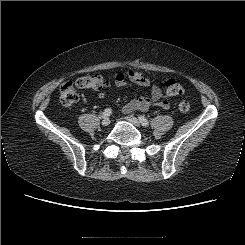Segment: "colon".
<instances>
[{
    "instance_id": "obj_1",
    "label": "colon",
    "mask_w": 245,
    "mask_h": 245,
    "mask_svg": "<svg viewBox=\"0 0 245 245\" xmlns=\"http://www.w3.org/2000/svg\"><path fill=\"white\" fill-rule=\"evenodd\" d=\"M106 86V81L101 74H87L76 81H67L60 88L59 99L63 106H70L74 104L79 97L78 89L86 90H101ZM165 92L169 96H180L184 93L182 84L174 79H169L164 83ZM179 110L188 112L190 110V103L188 101H181L178 105Z\"/></svg>"
}]
</instances>
